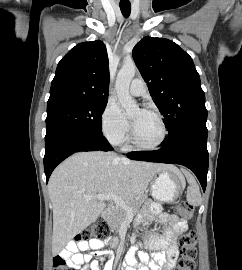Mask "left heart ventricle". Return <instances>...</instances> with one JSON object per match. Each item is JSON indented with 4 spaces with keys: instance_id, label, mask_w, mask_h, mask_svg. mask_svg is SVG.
Instances as JSON below:
<instances>
[{
    "instance_id": "left-heart-ventricle-1",
    "label": "left heart ventricle",
    "mask_w": 242,
    "mask_h": 270,
    "mask_svg": "<svg viewBox=\"0 0 242 270\" xmlns=\"http://www.w3.org/2000/svg\"><path fill=\"white\" fill-rule=\"evenodd\" d=\"M136 139L142 144H153L161 136V126L153 114L136 110L130 115Z\"/></svg>"
}]
</instances>
